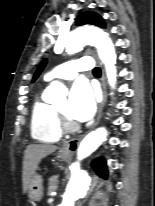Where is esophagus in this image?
<instances>
[{
	"mask_svg": "<svg viewBox=\"0 0 155 206\" xmlns=\"http://www.w3.org/2000/svg\"><path fill=\"white\" fill-rule=\"evenodd\" d=\"M101 88H102V100L100 102L98 114H97L96 120H95L92 128H94L99 123V121L102 117L103 108H104V105L106 102V80H105L104 70H102ZM79 143H80V137L68 140V141L63 143L61 150H62V152L66 153V154H72L77 150Z\"/></svg>",
	"mask_w": 155,
	"mask_h": 206,
	"instance_id": "1",
	"label": "esophagus"
}]
</instances>
